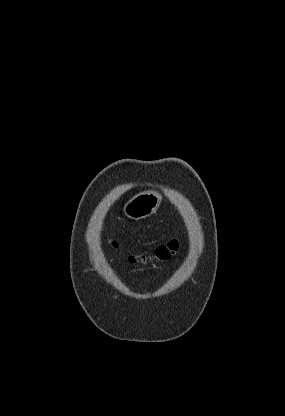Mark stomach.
<instances>
[{
	"label": "stomach",
	"mask_w": 285,
	"mask_h": 416,
	"mask_svg": "<svg viewBox=\"0 0 285 416\" xmlns=\"http://www.w3.org/2000/svg\"><path fill=\"white\" fill-rule=\"evenodd\" d=\"M161 200L162 196L158 192H152V190L141 192V194H136L131 200H128L123 212L131 220H142V218H148V216L157 212Z\"/></svg>",
	"instance_id": "obj_1"
}]
</instances>
